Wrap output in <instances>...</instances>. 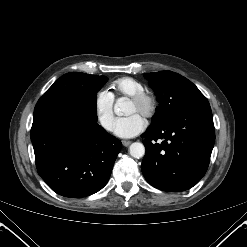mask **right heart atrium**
Returning a JSON list of instances; mask_svg holds the SVG:
<instances>
[{"label": "right heart atrium", "mask_w": 247, "mask_h": 247, "mask_svg": "<svg viewBox=\"0 0 247 247\" xmlns=\"http://www.w3.org/2000/svg\"><path fill=\"white\" fill-rule=\"evenodd\" d=\"M114 98L110 92L102 90L95 98V114L98 123L106 131L114 128Z\"/></svg>", "instance_id": "d8ad5b80"}]
</instances>
